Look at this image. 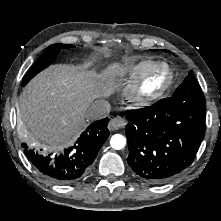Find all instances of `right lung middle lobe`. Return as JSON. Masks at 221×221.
I'll return each instance as SVG.
<instances>
[{"mask_svg": "<svg viewBox=\"0 0 221 221\" xmlns=\"http://www.w3.org/2000/svg\"><path fill=\"white\" fill-rule=\"evenodd\" d=\"M70 47L71 45L65 44H52L49 47H47L45 52L38 58V60L26 73L22 85H25L37 73H39L44 68L48 67L55 59L56 55L59 53V50Z\"/></svg>", "mask_w": 221, "mask_h": 221, "instance_id": "obj_1", "label": "right lung middle lobe"}]
</instances>
